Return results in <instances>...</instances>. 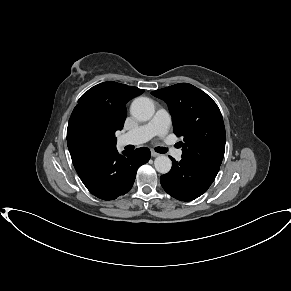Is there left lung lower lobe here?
Returning <instances> with one entry per match:
<instances>
[{"label":"left lung lower lobe","mask_w":291,"mask_h":291,"mask_svg":"<svg viewBox=\"0 0 291 291\" xmlns=\"http://www.w3.org/2000/svg\"><path fill=\"white\" fill-rule=\"evenodd\" d=\"M172 160L169 173L161 176L163 189L181 201H191L207 191L219 170L197 166L185 159Z\"/></svg>","instance_id":"1"}]
</instances>
